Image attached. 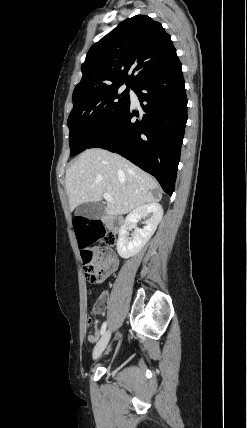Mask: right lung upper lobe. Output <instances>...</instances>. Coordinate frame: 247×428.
<instances>
[{"label": "right lung upper lobe", "mask_w": 247, "mask_h": 428, "mask_svg": "<svg viewBox=\"0 0 247 428\" xmlns=\"http://www.w3.org/2000/svg\"><path fill=\"white\" fill-rule=\"evenodd\" d=\"M176 57L170 35L159 22L147 15L128 18L91 46L72 97L124 83L135 88Z\"/></svg>", "instance_id": "obj_1"}]
</instances>
